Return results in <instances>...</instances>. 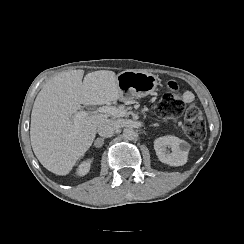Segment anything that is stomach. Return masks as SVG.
Masks as SVG:
<instances>
[{"mask_svg": "<svg viewBox=\"0 0 244 244\" xmlns=\"http://www.w3.org/2000/svg\"><path fill=\"white\" fill-rule=\"evenodd\" d=\"M118 87L123 93V100L133 97L144 98L157 90L158 77L153 73L125 70L117 75Z\"/></svg>", "mask_w": 244, "mask_h": 244, "instance_id": "obj_1", "label": "stomach"}]
</instances>
